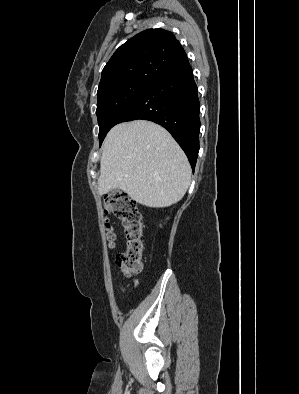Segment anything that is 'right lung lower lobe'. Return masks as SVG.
I'll return each mask as SVG.
<instances>
[{"mask_svg":"<svg viewBox=\"0 0 299 394\" xmlns=\"http://www.w3.org/2000/svg\"><path fill=\"white\" fill-rule=\"evenodd\" d=\"M199 110L197 85L186 59L151 83L117 124L143 119L163 126L181 146L194 170L199 152Z\"/></svg>","mask_w":299,"mask_h":394,"instance_id":"98d812e1","label":"right lung lower lobe"}]
</instances>
